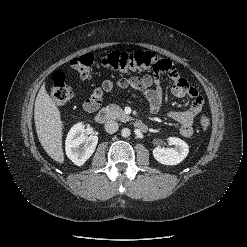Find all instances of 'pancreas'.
Returning <instances> with one entry per match:
<instances>
[{
  "label": "pancreas",
  "instance_id": "cf45deb5",
  "mask_svg": "<svg viewBox=\"0 0 247 247\" xmlns=\"http://www.w3.org/2000/svg\"><path fill=\"white\" fill-rule=\"evenodd\" d=\"M108 118L119 120V121H128L130 117L116 104H110L105 108Z\"/></svg>",
  "mask_w": 247,
  "mask_h": 247
}]
</instances>
